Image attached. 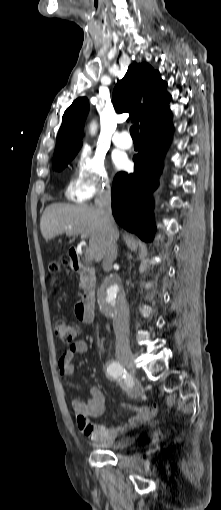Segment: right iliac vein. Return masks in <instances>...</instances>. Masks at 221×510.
<instances>
[{"instance_id":"63e3f726","label":"right iliac vein","mask_w":221,"mask_h":510,"mask_svg":"<svg viewBox=\"0 0 221 510\" xmlns=\"http://www.w3.org/2000/svg\"><path fill=\"white\" fill-rule=\"evenodd\" d=\"M118 360L130 371L132 375L136 374L135 359L132 352H123L118 355Z\"/></svg>"}]
</instances>
